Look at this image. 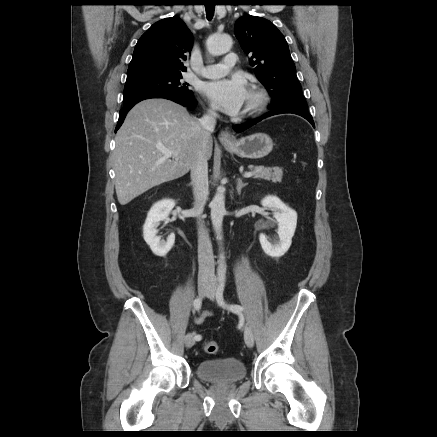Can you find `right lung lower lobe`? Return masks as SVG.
Here are the masks:
<instances>
[{
  "label": "right lung lower lobe",
  "mask_w": 437,
  "mask_h": 437,
  "mask_svg": "<svg viewBox=\"0 0 437 437\" xmlns=\"http://www.w3.org/2000/svg\"><path fill=\"white\" fill-rule=\"evenodd\" d=\"M149 98H165V99H169L172 100L178 104H181L183 106L188 107L189 109H193L196 106V100L194 99V96H181V95H169V94H165V95H155V96H151V97H147V98H143L140 100H136L134 102H130L128 104H124L122 109L120 110V114H119V120H118V124L116 126L115 131H117L120 126L122 125L126 114L128 113V111L138 102L144 100V99H149Z\"/></svg>",
  "instance_id": "obj_1"
}]
</instances>
